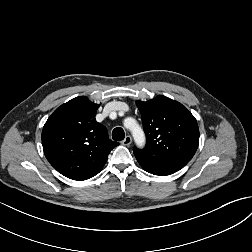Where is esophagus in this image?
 Wrapping results in <instances>:
<instances>
[{
  "label": "esophagus",
  "mask_w": 252,
  "mask_h": 252,
  "mask_svg": "<svg viewBox=\"0 0 252 252\" xmlns=\"http://www.w3.org/2000/svg\"><path fill=\"white\" fill-rule=\"evenodd\" d=\"M131 142H132V138H131V136L128 135L124 138V140L122 141V144L125 146H129L131 144Z\"/></svg>",
  "instance_id": "esophagus-1"
}]
</instances>
